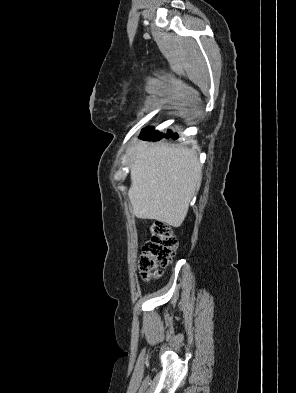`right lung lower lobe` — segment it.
<instances>
[{
	"mask_svg": "<svg viewBox=\"0 0 296 393\" xmlns=\"http://www.w3.org/2000/svg\"><path fill=\"white\" fill-rule=\"evenodd\" d=\"M172 138L177 139V133H173L172 130H169L166 134H162L159 131H155L154 128H146L142 130L139 138L148 141H159L162 138Z\"/></svg>",
	"mask_w": 296,
	"mask_h": 393,
	"instance_id": "right-lung-lower-lobe-1",
	"label": "right lung lower lobe"
}]
</instances>
